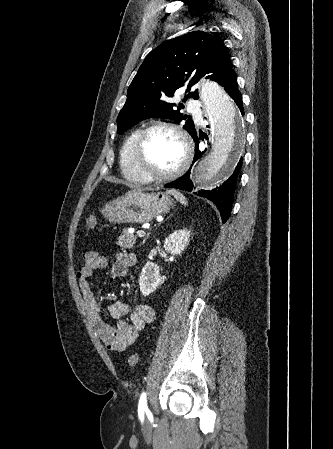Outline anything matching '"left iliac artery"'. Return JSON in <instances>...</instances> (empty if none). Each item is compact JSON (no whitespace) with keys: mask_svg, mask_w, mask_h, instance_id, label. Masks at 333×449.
Instances as JSON below:
<instances>
[{"mask_svg":"<svg viewBox=\"0 0 333 449\" xmlns=\"http://www.w3.org/2000/svg\"><path fill=\"white\" fill-rule=\"evenodd\" d=\"M150 413L148 406H147V397H146V393L142 392L140 399H139V404H138V415L140 418L144 417V413Z\"/></svg>","mask_w":333,"mask_h":449,"instance_id":"1","label":"left iliac artery"}]
</instances>
